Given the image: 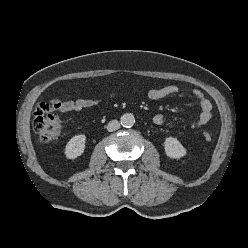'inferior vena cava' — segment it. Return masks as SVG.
Wrapping results in <instances>:
<instances>
[{"label":"inferior vena cava","mask_w":248,"mask_h":248,"mask_svg":"<svg viewBox=\"0 0 248 248\" xmlns=\"http://www.w3.org/2000/svg\"><path fill=\"white\" fill-rule=\"evenodd\" d=\"M106 128L109 132L115 131L120 128V123L117 120H112L107 124Z\"/></svg>","instance_id":"inferior-vena-cava-1"}]
</instances>
